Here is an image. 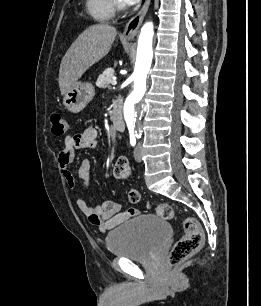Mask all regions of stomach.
Masks as SVG:
<instances>
[{
    "label": "stomach",
    "instance_id": "obj_1",
    "mask_svg": "<svg viewBox=\"0 0 261 306\" xmlns=\"http://www.w3.org/2000/svg\"><path fill=\"white\" fill-rule=\"evenodd\" d=\"M95 89L89 82H76L69 91L64 94L63 105L72 113L81 112L93 99Z\"/></svg>",
    "mask_w": 261,
    "mask_h": 306
}]
</instances>
